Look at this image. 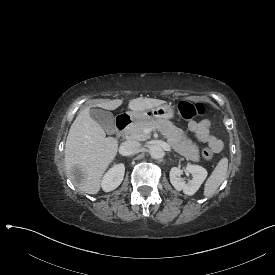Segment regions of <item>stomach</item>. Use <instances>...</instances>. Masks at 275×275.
Instances as JSON below:
<instances>
[{
  "label": "stomach",
  "instance_id": "stomach-1",
  "mask_svg": "<svg viewBox=\"0 0 275 275\" xmlns=\"http://www.w3.org/2000/svg\"><path fill=\"white\" fill-rule=\"evenodd\" d=\"M129 114L133 121L150 122L157 119H172L175 115V110L172 106L164 104L142 112H131Z\"/></svg>",
  "mask_w": 275,
  "mask_h": 275
}]
</instances>
